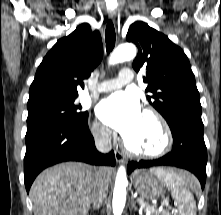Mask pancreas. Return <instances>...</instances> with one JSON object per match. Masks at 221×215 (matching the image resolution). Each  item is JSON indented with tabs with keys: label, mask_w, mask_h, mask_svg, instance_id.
<instances>
[{
	"label": "pancreas",
	"mask_w": 221,
	"mask_h": 215,
	"mask_svg": "<svg viewBox=\"0 0 221 215\" xmlns=\"http://www.w3.org/2000/svg\"><path fill=\"white\" fill-rule=\"evenodd\" d=\"M143 206H144L145 210L150 211L152 215H171L169 213V211H166V210L159 211L158 209H156L153 206H148V204L144 201H143Z\"/></svg>",
	"instance_id": "pancreas-1"
}]
</instances>
